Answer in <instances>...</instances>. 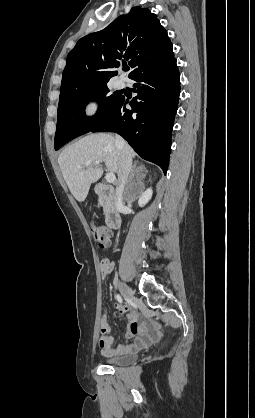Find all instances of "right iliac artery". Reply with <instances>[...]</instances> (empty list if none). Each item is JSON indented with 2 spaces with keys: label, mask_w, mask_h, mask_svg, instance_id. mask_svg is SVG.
<instances>
[{
  "label": "right iliac artery",
  "mask_w": 255,
  "mask_h": 418,
  "mask_svg": "<svg viewBox=\"0 0 255 418\" xmlns=\"http://www.w3.org/2000/svg\"><path fill=\"white\" fill-rule=\"evenodd\" d=\"M115 297L118 300V302L122 303V297L119 294H116Z\"/></svg>",
  "instance_id": "obj_1"
}]
</instances>
